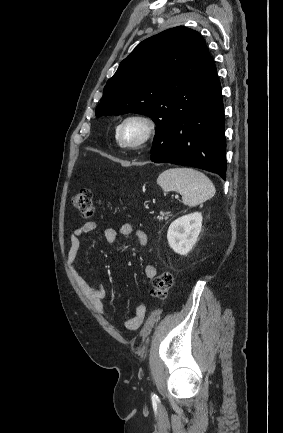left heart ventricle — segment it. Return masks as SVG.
<instances>
[{
  "instance_id": "1",
  "label": "left heart ventricle",
  "mask_w": 283,
  "mask_h": 433,
  "mask_svg": "<svg viewBox=\"0 0 283 433\" xmlns=\"http://www.w3.org/2000/svg\"><path fill=\"white\" fill-rule=\"evenodd\" d=\"M145 126L139 121H131L124 125L121 138L123 141H134L143 136Z\"/></svg>"
}]
</instances>
